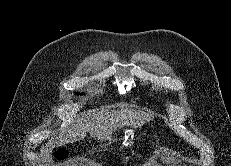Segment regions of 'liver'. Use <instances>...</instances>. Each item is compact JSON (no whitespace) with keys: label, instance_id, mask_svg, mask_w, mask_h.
<instances>
[{"label":"liver","instance_id":"obj_1","mask_svg":"<svg viewBox=\"0 0 231 166\" xmlns=\"http://www.w3.org/2000/svg\"><path fill=\"white\" fill-rule=\"evenodd\" d=\"M152 119L153 115L150 113L132 109L102 110L93 112L88 117L83 114L76 117L75 122L57 137L42 146L40 158L42 161L49 160L54 147L82 140L88 132L94 139L107 140L111 139L112 134L118 128L128 126L137 129Z\"/></svg>","mask_w":231,"mask_h":166}]
</instances>
